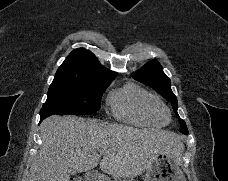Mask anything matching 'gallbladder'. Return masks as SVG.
Listing matches in <instances>:
<instances>
[{"mask_svg": "<svg viewBox=\"0 0 228 181\" xmlns=\"http://www.w3.org/2000/svg\"><path fill=\"white\" fill-rule=\"evenodd\" d=\"M77 171H75V169H72L71 171V175H76Z\"/></svg>", "mask_w": 228, "mask_h": 181, "instance_id": "1", "label": "gallbladder"}]
</instances>
